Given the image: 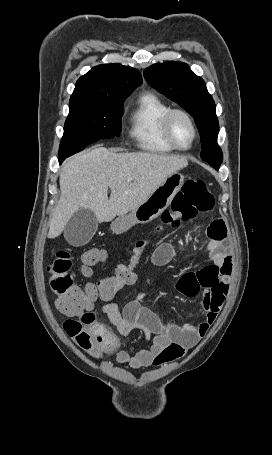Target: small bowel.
<instances>
[{
	"label": "small bowel",
	"mask_w": 272,
	"mask_h": 455,
	"mask_svg": "<svg viewBox=\"0 0 272 455\" xmlns=\"http://www.w3.org/2000/svg\"><path fill=\"white\" fill-rule=\"evenodd\" d=\"M208 253L210 264L198 271L185 273L178 281V291L188 298H202L204 320L197 324L176 325L164 323L146 305L147 296L139 293L123 308L110 302L103 306L104 313L116 326L122 336H128L134 329L154 334L149 348L136 353L121 350L116 355L119 364H127L138 369L158 366L175 361L184 356L189 349L205 336L216 321L226 295L233 270L232 256L227 243V228L223 221L214 220L208 228ZM174 255L169 243L158 245L152 253L156 265L168 263Z\"/></svg>",
	"instance_id": "1"
}]
</instances>
